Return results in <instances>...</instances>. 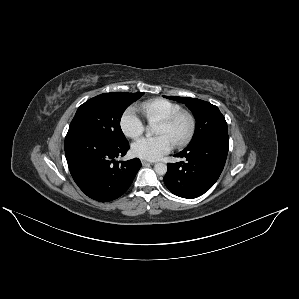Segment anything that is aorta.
<instances>
[{"label": "aorta", "mask_w": 299, "mask_h": 299, "mask_svg": "<svg viewBox=\"0 0 299 299\" xmlns=\"http://www.w3.org/2000/svg\"><path fill=\"white\" fill-rule=\"evenodd\" d=\"M147 133L148 134H153L155 133V128L153 126H148L147 127ZM154 170L158 175H165L167 172V165L165 163H156L154 165Z\"/></svg>", "instance_id": "762f6f07"}]
</instances>
